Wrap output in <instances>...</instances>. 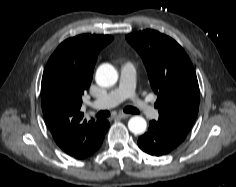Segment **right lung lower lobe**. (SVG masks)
I'll return each instance as SVG.
<instances>
[{
  "label": "right lung lower lobe",
  "mask_w": 236,
  "mask_h": 187,
  "mask_svg": "<svg viewBox=\"0 0 236 187\" xmlns=\"http://www.w3.org/2000/svg\"><path fill=\"white\" fill-rule=\"evenodd\" d=\"M108 128H109V122H108L107 120H104V124H103V135H102L101 140H100V142L98 143L96 149L93 151V153H94L95 151H97V150L99 149V147L101 146L102 141H103V138H104V135H105V133L107 132ZM93 153H92V154H93ZM92 154H91V155H92Z\"/></svg>",
  "instance_id": "obj_1"
}]
</instances>
